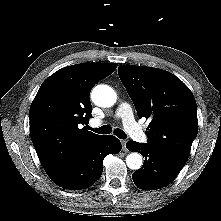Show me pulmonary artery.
<instances>
[{"label": "pulmonary artery", "instance_id": "e3ab8cb5", "mask_svg": "<svg viewBox=\"0 0 221 221\" xmlns=\"http://www.w3.org/2000/svg\"><path fill=\"white\" fill-rule=\"evenodd\" d=\"M116 116L122 120L126 132L136 141L144 143L147 141V136L136 123L132 109L128 103H121L117 109ZM101 121L94 119L91 125L97 127L101 125Z\"/></svg>", "mask_w": 221, "mask_h": 221}]
</instances>
